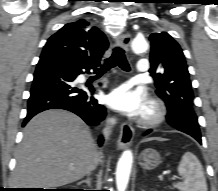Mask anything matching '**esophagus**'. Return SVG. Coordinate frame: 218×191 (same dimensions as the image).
<instances>
[{
    "label": "esophagus",
    "mask_w": 218,
    "mask_h": 191,
    "mask_svg": "<svg viewBox=\"0 0 218 191\" xmlns=\"http://www.w3.org/2000/svg\"><path fill=\"white\" fill-rule=\"evenodd\" d=\"M131 43V37L129 34H121L117 39V44L124 50H128ZM135 131L128 123H122L120 126V135L117 140V146L119 149H124L129 146L134 138Z\"/></svg>",
    "instance_id": "obj_1"
}]
</instances>
